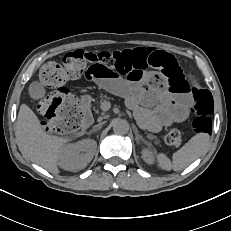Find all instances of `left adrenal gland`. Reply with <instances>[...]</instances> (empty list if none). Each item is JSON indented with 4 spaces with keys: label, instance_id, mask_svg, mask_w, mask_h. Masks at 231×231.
<instances>
[{
    "label": "left adrenal gland",
    "instance_id": "a2214340",
    "mask_svg": "<svg viewBox=\"0 0 231 231\" xmlns=\"http://www.w3.org/2000/svg\"><path fill=\"white\" fill-rule=\"evenodd\" d=\"M134 133H135V140L138 144L140 143V141L144 142L145 144H148V142L143 138V136L138 134L137 128H135Z\"/></svg>",
    "mask_w": 231,
    "mask_h": 231
}]
</instances>
